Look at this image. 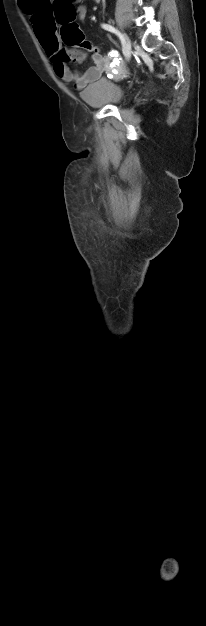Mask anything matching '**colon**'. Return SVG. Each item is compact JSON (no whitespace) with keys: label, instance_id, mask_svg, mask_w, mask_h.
I'll return each instance as SVG.
<instances>
[{"label":"colon","instance_id":"obj_1","mask_svg":"<svg viewBox=\"0 0 206 626\" xmlns=\"http://www.w3.org/2000/svg\"><path fill=\"white\" fill-rule=\"evenodd\" d=\"M82 0H55L54 7L56 10L57 22L61 26V37L65 45L69 47L80 46L84 49H92V45L87 41L74 22L75 11L73 5L81 2ZM62 58L67 60H81L83 55L77 51L64 52L61 51Z\"/></svg>","mask_w":206,"mask_h":626}]
</instances>
